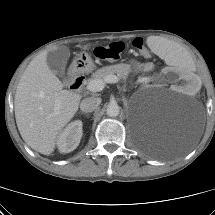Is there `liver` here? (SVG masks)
<instances>
[{
  "label": "liver",
  "mask_w": 215,
  "mask_h": 215,
  "mask_svg": "<svg viewBox=\"0 0 215 215\" xmlns=\"http://www.w3.org/2000/svg\"><path fill=\"white\" fill-rule=\"evenodd\" d=\"M47 53L48 50L41 52L29 63L14 99L15 118L22 139L44 155L54 151L59 134L74 117L82 98L80 94L63 89L64 85L47 65Z\"/></svg>",
  "instance_id": "1"
}]
</instances>
